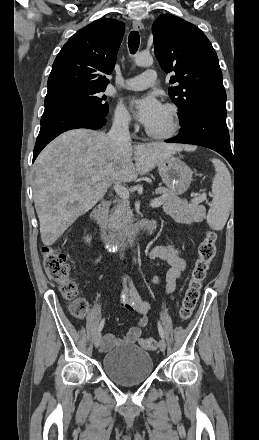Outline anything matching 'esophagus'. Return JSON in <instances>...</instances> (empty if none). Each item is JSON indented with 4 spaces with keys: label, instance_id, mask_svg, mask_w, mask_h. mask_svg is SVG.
<instances>
[{
    "label": "esophagus",
    "instance_id": "1",
    "mask_svg": "<svg viewBox=\"0 0 259 440\" xmlns=\"http://www.w3.org/2000/svg\"><path fill=\"white\" fill-rule=\"evenodd\" d=\"M133 28L136 31H142L143 30V24L140 20H134L133 21Z\"/></svg>",
    "mask_w": 259,
    "mask_h": 440
}]
</instances>
